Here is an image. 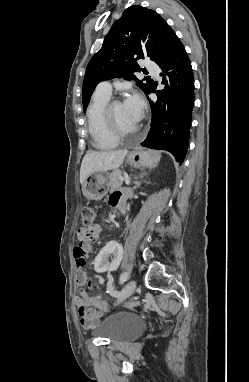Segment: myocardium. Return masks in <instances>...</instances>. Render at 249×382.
Returning <instances> with one entry per match:
<instances>
[{
    "label": "myocardium",
    "mask_w": 249,
    "mask_h": 382,
    "mask_svg": "<svg viewBox=\"0 0 249 382\" xmlns=\"http://www.w3.org/2000/svg\"><path fill=\"white\" fill-rule=\"evenodd\" d=\"M122 102L119 99H113L110 100L103 111V120L105 127L107 131L110 133L111 136H113L116 139H122L130 136L136 135L139 130L140 126L138 125L137 128L133 131H123L121 130L115 123L114 117H113V108L117 104H121Z\"/></svg>",
    "instance_id": "1"
}]
</instances>
